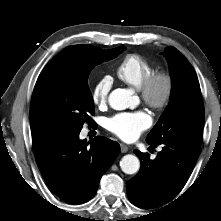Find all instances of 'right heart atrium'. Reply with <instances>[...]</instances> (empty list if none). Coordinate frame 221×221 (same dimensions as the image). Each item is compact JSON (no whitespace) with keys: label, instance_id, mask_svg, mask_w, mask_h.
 I'll return each instance as SVG.
<instances>
[{"label":"right heart atrium","instance_id":"obj_1","mask_svg":"<svg viewBox=\"0 0 221 221\" xmlns=\"http://www.w3.org/2000/svg\"><path fill=\"white\" fill-rule=\"evenodd\" d=\"M112 88L110 76L101 77L93 86L91 100L97 107H104L108 103L109 94Z\"/></svg>","mask_w":221,"mask_h":221}]
</instances>
